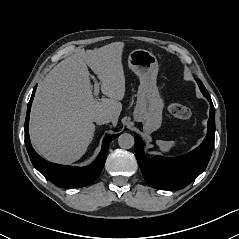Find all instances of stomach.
<instances>
[{
    "instance_id": "1",
    "label": "stomach",
    "mask_w": 239,
    "mask_h": 239,
    "mask_svg": "<svg viewBox=\"0 0 239 239\" xmlns=\"http://www.w3.org/2000/svg\"><path fill=\"white\" fill-rule=\"evenodd\" d=\"M128 64L140 78L134 119L142 122L145 132L151 133L162 123L163 101L156 85L158 61L152 52L136 49L129 54Z\"/></svg>"
}]
</instances>
